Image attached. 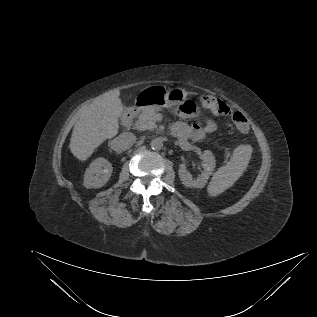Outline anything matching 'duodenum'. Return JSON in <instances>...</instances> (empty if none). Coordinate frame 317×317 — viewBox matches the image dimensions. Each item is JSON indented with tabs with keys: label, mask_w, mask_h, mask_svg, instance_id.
I'll return each instance as SVG.
<instances>
[{
	"label": "duodenum",
	"mask_w": 317,
	"mask_h": 317,
	"mask_svg": "<svg viewBox=\"0 0 317 317\" xmlns=\"http://www.w3.org/2000/svg\"><path fill=\"white\" fill-rule=\"evenodd\" d=\"M135 110H136V107L135 106H131V107H128L123 115H122V118H121V123L123 126L127 127L131 124L132 122V119H133V116H134V113H135Z\"/></svg>",
	"instance_id": "obj_1"
}]
</instances>
